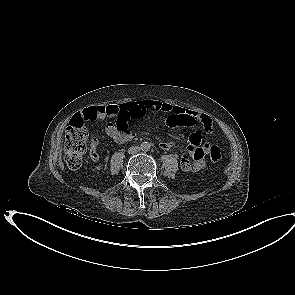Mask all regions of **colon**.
<instances>
[{
  "mask_svg": "<svg viewBox=\"0 0 295 295\" xmlns=\"http://www.w3.org/2000/svg\"><path fill=\"white\" fill-rule=\"evenodd\" d=\"M106 116L112 118L118 128L124 129L132 119V112L126 106L113 107L108 106ZM88 139V129L85 121L75 117L70 122L65 135V162L73 170L79 169L83 162L86 152ZM209 157L213 162L222 160V151L218 146H212L209 150Z\"/></svg>",
  "mask_w": 295,
  "mask_h": 295,
  "instance_id": "obj_1",
  "label": "colon"
}]
</instances>
